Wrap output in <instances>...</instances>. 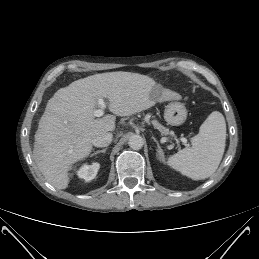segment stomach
I'll return each instance as SVG.
<instances>
[{
	"label": "stomach",
	"mask_w": 259,
	"mask_h": 259,
	"mask_svg": "<svg viewBox=\"0 0 259 259\" xmlns=\"http://www.w3.org/2000/svg\"><path fill=\"white\" fill-rule=\"evenodd\" d=\"M187 118V110L184 104L180 102H171L164 111L165 121L172 126H178L185 122Z\"/></svg>",
	"instance_id": "1"
}]
</instances>
